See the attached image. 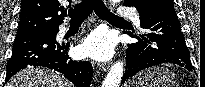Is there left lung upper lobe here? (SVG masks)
I'll return each mask as SVG.
<instances>
[{
	"label": "left lung upper lobe",
	"mask_w": 205,
	"mask_h": 87,
	"mask_svg": "<svg viewBox=\"0 0 205 87\" xmlns=\"http://www.w3.org/2000/svg\"><path fill=\"white\" fill-rule=\"evenodd\" d=\"M156 4H172L173 0H124L125 6H133L137 10H141L145 7H149ZM131 33V32H128Z\"/></svg>",
	"instance_id": "5c2ea615"
}]
</instances>
